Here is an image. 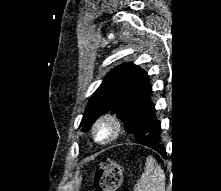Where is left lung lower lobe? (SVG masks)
<instances>
[{"label":"left lung lower lobe","instance_id":"left-lung-lower-lobe-1","mask_svg":"<svg viewBox=\"0 0 221 191\" xmlns=\"http://www.w3.org/2000/svg\"><path fill=\"white\" fill-rule=\"evenodd\" d=\"M151 93L152 88L148 81L147 73L138 68L131 95V113L134 119V130L140 134L142 139L150 143L148 147L166 157L161 137V123L155 117L156 110L151 101Z\"/></svg>","mask_w":221,"mask_h":191}]
</instances>
